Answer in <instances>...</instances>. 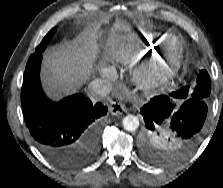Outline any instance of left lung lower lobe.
<instances>
[{"instance_id":"1","label":"left lung lower lobe","mask_w":223,"mask_h":188,"mask_svg":"<svg viewBox=\"0 0 223 188\" xmlns=\"http://www.w3.org/2000/svg\"><path fill=\"white\" fill-rule=\"evenodd\" d=\"M171 96L173 94L171 93ZM145 129H165L172 133L184 154L191 152L198 144L207 115V103L190 98L176 106L168 96L152 98L141 109Z\"/></svg>"}]
</instances>
